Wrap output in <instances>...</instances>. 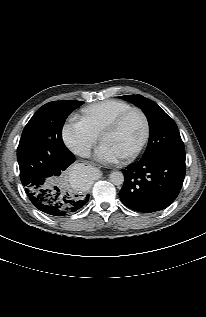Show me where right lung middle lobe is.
Segmentation results:
<instances>
[{
    "label": "right lung middle lobe",
    "mask_w": 206,
    "mask_h": 317,
    "mask_svg": "<svg viewBox=\"0 0 206 317\" xmlns=\"http://www.w3.org/2000/svg\"><path fill=\"white\" fill-rule=\"evenodd\" d=\"M83 103L49 102L27 123L17 148L23 185L41 177H49L55 184L62 183L66 172L56 166L57 159L69 152L62 140V127L69 114Z\"/></svg>",
    "instance_id": "obj_1"
}]
</instances>
